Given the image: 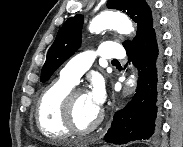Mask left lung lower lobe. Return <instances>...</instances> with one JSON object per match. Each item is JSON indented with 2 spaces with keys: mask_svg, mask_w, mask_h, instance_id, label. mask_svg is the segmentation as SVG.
Segmentation results:
<instances>
[{
  "mask_svg": "<svg viewBox=\"0 0 183 147\" xmlns=\"http://www.w3.org/2000/svg\"><path fill=\"white\" fill-rule=\"evenodd\" d=\"M126 51L129 61L132 60L140 71L134 97L115 113L104 137L114 144L148 139L160 125L163 53L158 25Z\"/></svg>",
  "mask_w": 183,
  "mask_h": 147,
  "instance_id": "1",
  "label": "left lung lower lobe"
}]
</instances>
